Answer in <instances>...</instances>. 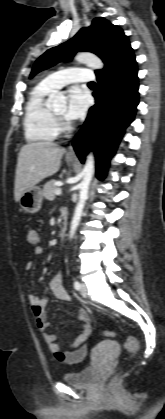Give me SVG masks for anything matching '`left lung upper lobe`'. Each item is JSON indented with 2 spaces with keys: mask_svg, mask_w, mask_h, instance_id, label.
<instances>
[{
  "mask_svg": "<svg viewBox=\"0 0 165 419\" xmlns=\"http://www.w3.org/2000/svg\"><path fill=\"white\" fill-rule=\"evenodd\" d=\"M131 48L123 30L104 18H95L90 27L82 28L69 41L49 49L35 62L30 78L58 62L69 61L77 51H90L97 54L104 62L100 74L120 60Z\"/></svg>",
  "mask_w": 165,
  "mask_h": 419,
  "instance_id": "obj_1",
  "label": "left lung upper lobe"
}]
</instances>
